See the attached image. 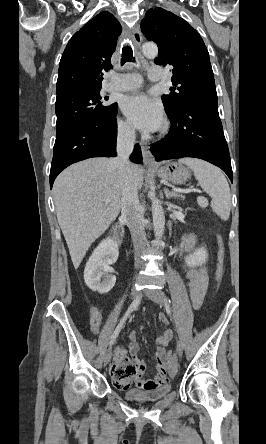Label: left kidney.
<instances>
[{
  "label": "left kidney",
  "instance_id": "5707ae66",
  "mask_svg": "<svg viewBox=\"0 0 266 444\" xmlns=\"http://www.w3.org/2000/svg\"><path fill=\"white\" fill-rule=\"evenodd\" d=\"M208 258L207 251L204 247L197 249L192 255L186 258L189 266H196L205 263Z\"/></svg>",
  "mask_w": 266,
  "mask_h": 444
}]
</instances>
